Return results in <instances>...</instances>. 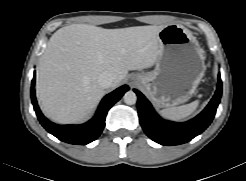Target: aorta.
I'll list each match as a JSON object with an SVG mask.
<instances>
[{
  "instance_id": "aorta-1",
  "label": "aorta",
  "mask_w": 246,
  "mask_h": 181,
  "mask_svg": "<svg viewBox=\"0 0 246 181\" xmlns=\"http://www.w3.org/2000/svg\"><path fill=\"white\" fill-rule=\"evenodd\" d=\"M123 99L127 105H134L137 102V95L134 91L129 90L124 94Z\"/></svg>"
}]
</instances>
